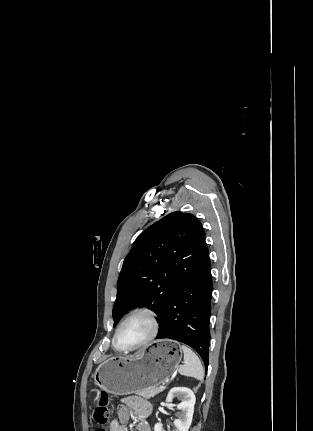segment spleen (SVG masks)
Returning <instances> with one entry per match:
<instances>
[{
    "label": "spleen",
    "mask_w": 313,
    "mask_h": 431,
    "mask_svg": "<svg viewBox=\"0 0 313 431\" xmlns=\"http://www.w3.org/2000/svg\"><path fill=\"white\" fill-rule=\"evenodd\" d=\"M180 349L184 353V364L178 368V372L183 376L193 377L202 381L204 378V369L198 356L185 345H182Z\"/></svg>",
    "instance_id": "1"
}]
</instances>
